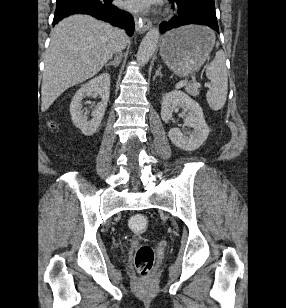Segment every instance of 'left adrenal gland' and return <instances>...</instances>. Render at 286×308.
Segmentation results:
<instances>
[{
	"label": "left adrenal gland",
	"instance_id": "left-adrenal-gland-1",
	"mask_svg": "<svg viewBox=\"0 0 286 308\" xmlns=\"http://www.w3.org/2000/svg\"><path fill=\"white\" fill-rule=\"evenodd\" d=\"M161 66H159V68L157 69L155 75L153 76V81L156 79V77H162V74H161Z\"/></svg>",
	"mask_w": 286,
	"mask_h": 308
}]
</instances>
